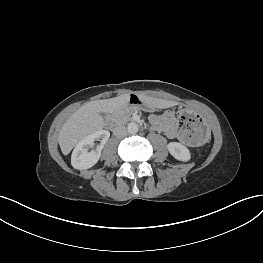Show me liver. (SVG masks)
<instances>
[{"label": "liver", "instance_id": "liver-1", "mask_svg": "<svg viewBox=\"0 0 263 263\" xmlns=\"http://www.w3.org/2000/svg\"><path fill=\"white\" fill-rule=\"evenodd\" d=\"M146 103L152 104L155 108L166 109L178 105V102L164 99H156L148 96H140ZM130 95L96 100L85 103L63 124L58 142L64 155L71 152L74 146L86 136L100 131L104 127V119L101 113H114L128 106Z\"/></svg>", "mask_w": 263, "mask_h": 263}]
</instances>
